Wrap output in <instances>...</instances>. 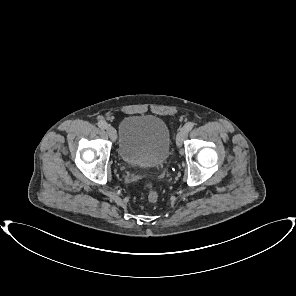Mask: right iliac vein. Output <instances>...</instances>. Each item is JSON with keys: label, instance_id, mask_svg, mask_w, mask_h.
<instances>
[{"label": "right iliac vein", "instance_id": "1", "mask_svg": "<svg viewBox=\"0 0 296 296\" xmlns=\"http://www.w3.org/2000/svg\"><path fill=\"white\" fill-rule=\"evenodd\" d=\"M106 130H107V133H108L109 137H110L113 141H115L116 138H117L116 130H115L112 126H108Z\"/></svg>", "mask_w": 296, "mask_h": 296}]
</instances>
